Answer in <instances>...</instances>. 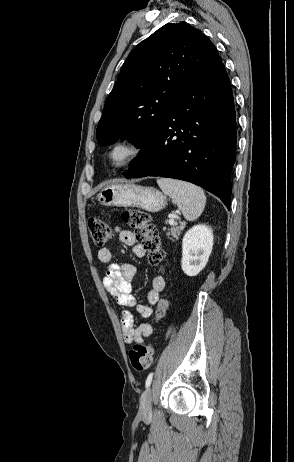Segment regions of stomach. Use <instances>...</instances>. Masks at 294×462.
I'll return each mask as SVG.
<instances>
[{
	"mask_svg": "<svg viewBox=\"0 0 294 462\" xmlns=\"http://www.w3.org/2000/svg\"><path fill=\"white\" fill-rule=\"evenodd\" d=\"M97 197L107 207H138L148 212H158L167 205L166 196L159 190L132 183L108 185Z\"/></svg>",
	"mask_w": 294,
	"mask_h": 462,
	"instance_id": "obj_1",
	"label": "stomach"
}]
</instances>
